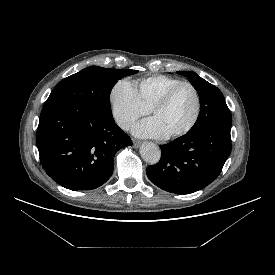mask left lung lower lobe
Segmentation results:
<instances>
[{"instance_id": "1", "label": "left lung lower lobe", "mask_w": 275, "mask_h": 275, "mask_svg": "<svg viewBox=\"0 0 275 275\" xmlns=\"http://www.w3.org/2000/svg\"><path fill=\"white\" fill-rule=\"evenodd\" d=\"M160 147V161L146 170L150 181L167 192L192 193L220 174L231 152L230 127L187 132Z\"/></svg>"}]
</instances>
